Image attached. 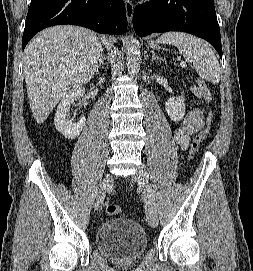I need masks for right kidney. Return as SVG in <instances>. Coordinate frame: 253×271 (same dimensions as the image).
Segmentation results:
<instances>
[{
    "instance_id": "right-kidney-1",
    "label": "right kidney",
    "mask_w": 253,
    "mask_h": 271,
    "mask_svg": "<svg viewBox=\"0 0 253 271\" xmlns=\"http://www.w3.org/2000/svg\"><path fill=\"white\" fill-rule=\"evenodd\" d=\"M84 93L85 89L82 87L73 89L61 100L57 107L54 118L55 127L67 139L78 137L85 126L86 118L84 116L77 123H73L72 119L68 118L71 103L83 96Z\"/></svg>"
}]
</instances>
